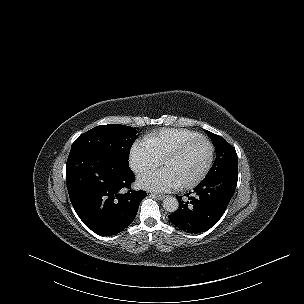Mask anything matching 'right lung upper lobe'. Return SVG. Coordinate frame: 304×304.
<instances>
[{
  "label": "right lung upper lobe",
  "mask_w": 304,
  "mask_h": 304,
  "mask_svg": "<svg viewBox=\"0 0 304 304\" xmlns=\"http://www.w3.org/2000/svg\"><path fill=\"white\" fill-rule=\"evenodd\" d=\"M75 151H77V150H72L70 153H73V152H75Z\"/></svg>",
  "instance_id": "cb5924a9"
}]
</instances>
